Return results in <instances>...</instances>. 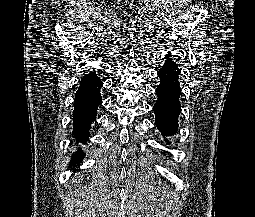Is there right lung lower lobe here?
I'll return each mask as SVG.
<instances>
[{
	"mask_svg": "<svg viewBox=\"0 0 255 217\" xmlns=\"http://www.w3.org/2000/svg\"><path fill=\"white\" fill-rule=\"evenodd\" d=\"M102 85V81L94 71L84 75L80 80L73 111V131L76 143H86L89 138V129L96 119L97 107L102 103L100 95ZM83 158V151L78 149L71 162L79 163Z\"/></svg>",
	"mask_w": 255,
	"mask_h": 217,
	"instance_id": "98d812e1",
	"label": "right lung lower lobe"
}]
</instances>
